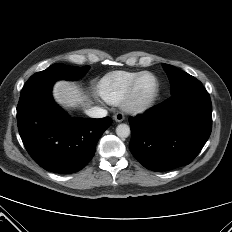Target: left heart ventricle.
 <instances>
[{
    "instance_id": "b2bd125f",
    "label": "left heart ventricle",
    "mask_w": 232,
    "mask_h": 232,
    "mask_svg": "<svg viewBox=\"0 0 232 232\" xmlns=\"http://www.w3.org/2000/svg\"><path fill=\"white\" fill-rule=\"evenodd\" d=\"M153 88H154V82L152 78L150 76H144L140 80L137 86V90H136L137 99L143 100L147 98L153 91Z\"/></svg>"
}]
</instances>
